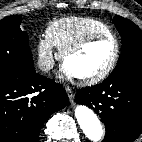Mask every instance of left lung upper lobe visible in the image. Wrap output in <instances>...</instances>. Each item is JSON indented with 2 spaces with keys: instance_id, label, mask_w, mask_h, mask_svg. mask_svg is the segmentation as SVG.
Segmentation results:
<instances>
[{
  "instance_id": "1",
  "label": "left lung upper lobe",
  "mask_w": 142,
  "mask_h": 142,
  "mask_svg": "<svg viewBox=\"0 0 142 142\" xmlns=\"http://www.w3.org/2000/svg\"><path fill=\"white\" fill-rule=\"evenodd\" d=\"M114 24L121 34L118 64L107 81L142 78V31L129 19L116 15Z\"/></svg>"
}]
</instances>
